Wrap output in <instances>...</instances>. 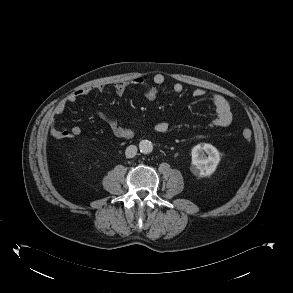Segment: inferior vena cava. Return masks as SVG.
Returning a JSON list of instances; mask_svg holds the SVG:
<instances>
[{
    "label": "inferior vena cava",
    "instance_id": "obj_1",
    "mask_svg": "<svg viewBox=\"0 0 293 293\" xmlns=\"http://www.w3.org/2000/svg\"><path fill=\"white\" fill-rule=\"evenodd\" d=\"M137 154V147L135 145H130L125 150V155L127 158H133Z\"/></svg>",
    "mask_w": 293,
    "mask_h": 293
}]
</instances>
